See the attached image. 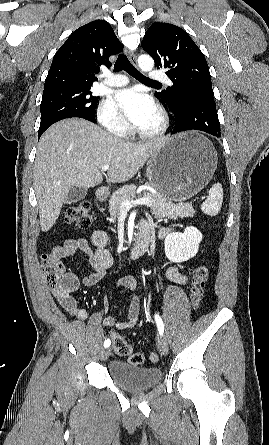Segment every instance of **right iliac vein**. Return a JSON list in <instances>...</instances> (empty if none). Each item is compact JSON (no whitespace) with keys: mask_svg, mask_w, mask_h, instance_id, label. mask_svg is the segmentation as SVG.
I'll return each instance as SVG.
<instances>
[{"mask_svg":"<svg viewBox=\"0 0 269 445\" xmlns=\"http://www.w3.org/2000/svg\"><path fill=\"white\" fill-rule=\"evenodd\" d=\"M110 353H111V349L110 348H105L104 350H102V352H101V360H103V361L106 360L109 357Z\"/></svg>","mask_w":269,"mask_h":445,"instance_id":"obj_1","label":"right iliac vein"}]
</instances>
